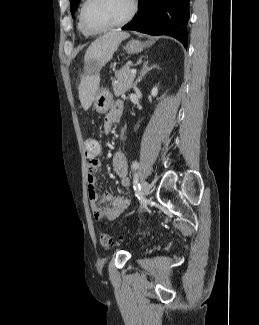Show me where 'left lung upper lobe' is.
<instances>
[{"label":"left lung upper lobe","mask_w":259,"mask_h":325,"mask_svg":"<svg viewBox=\"0 0 259 325\" xmlns=\"http://www.w3.org/2000/svg\"><path fill=\"white\" fill-rule=\"evenodd\" d=\"M80 0H70V3H71V6H70V10H71V13L74 14L76 8H77V5L79 3Z\"/></svg>","instance_id":"5c2ea615"}]
</instances>
